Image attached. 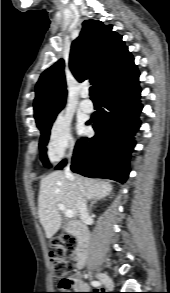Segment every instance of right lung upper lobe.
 Segmentation results:
<instances>
[{
	"mask_svg": "<svg viewBox=\"0 0 170 293\" xmlns=\"http://www.w3.org/2000/svg\"><path fill=\"white\" fill-rule=\"evenodd\" d=\"M64 66V60L60 59L41 74L36 84L34 117L39 129L53 122L65 105ZM69 67L79 82L90 79L98 92L105 83L125 74L135 65L122 36L112 31V25L85 20L79 37L72 43Z\"/></svg>",
	"mask_w": 170,
	"mask_h": 293,
	"instance_id": "obj_1",
	"label": "right lung upper lobe"
}]
</instances>
